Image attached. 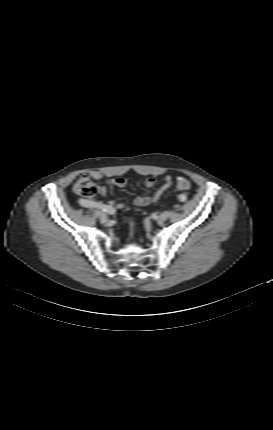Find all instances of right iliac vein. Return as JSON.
Here are the masks:
<instances>
[{
    "instance_id": "63e3f726",
    "label": "right iliac vein",
    "mask_w": 273,
    "mask_h": 430,
    "mask_svg": "<svg viewBox=\"0 0 273 430\" xmlns=\"http://www.w3.org/2000/svg\"><path fill=\"white\" fill-rule=\"evenodd\" d=\"M96 215L102 220V221H106L107 220V215L106 213H104L103 211L97 210L96 211Z\"/></svg>"
}]
</instances>
